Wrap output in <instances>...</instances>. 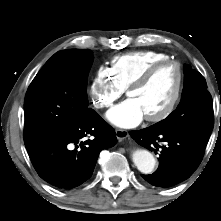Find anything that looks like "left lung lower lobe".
I'll return each mask as SVG.
<instances>
[{
    "label": "left lung lower lobe",
    "mask_w": 221,
    "mask_h": 221,
    "mask_svg": "<svg viewBox=\"0 0 221 221\" xmlns=\"http://www.w3.org/2000/svg\"><path fill=\"white\" fill-rule=\"evenodd\" d=\"M138 144L159 152V167L142 177L150 184L167 188L187 178L199 166L209 135L193 131L164 132L154 125L130 132Z\"/></svg>",
    "instance_id": "0a47b994"
}]
</instances>
